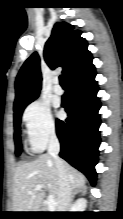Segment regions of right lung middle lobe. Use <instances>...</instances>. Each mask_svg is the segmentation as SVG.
<instances>
[{
  "mask_svg": "<svg viewBox=\"0 0 123 219\" xmlns=\"http://www.w3.org/2000/svg\"><path fill=\"white\" fill-rule=\"evenodd\" d=\"M32 101L24 104L23 106H21L20 108H18L14 111V141H15V153H16V155H20V153L22 151L21 140H20L21 116H22L24 108L29 103H31Z\"/></svg>",
  "mask_w": 123,
  "mask_h": 219,
  "instance_id": "right-lung-middle-lobe-1",
  "label": "right lung middle lobe"
}]
</instances>
